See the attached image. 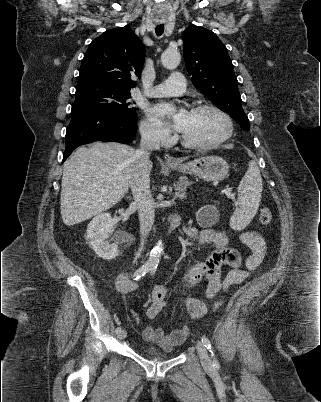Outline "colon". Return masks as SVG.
Here are the masks:
<instances>
[{
  "label": "colon",
  "instance_id": "obj_1",
  "mask_svg": "<svg viewBox=\"0 0 321 402\" xmlns=\"http://www.w3.org/2000/svg\"><path fill=\"white\" fill-rule=\"evenodd\" d=\"M273 220L272 212L269 208H263L259 214V222L264 225H270ZM206 306L204 303H200L196 308V313H202L205 310ZM134 319L138 320V315L136 313L133 314Z\"/></svg>",
  "mask_w": 321,
  "mask_h": 402
}]
</instances>
